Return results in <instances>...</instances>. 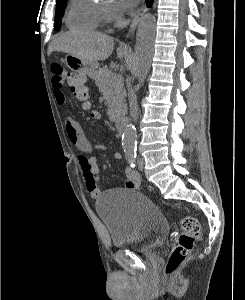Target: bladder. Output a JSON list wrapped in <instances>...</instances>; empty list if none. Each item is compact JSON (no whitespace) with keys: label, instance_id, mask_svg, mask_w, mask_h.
I'll list each match as a JSON object with an SVG mask.
<instances>
[{"label":"bladder","instance_id":"1","mask_svg":"<svg viewBox=\"0 0 245 300\" xmlns=\"http://www.w3.org/2000/svg\"><path fill=\"white\" fill-rule=\"evenodd\" d=\"M96 210L114 248L149 254L165 242L170 232L169 223L155 205L132 189L105 192Z\"/></svg>","mask_w":245,"mask_h":300}]
</instances>
